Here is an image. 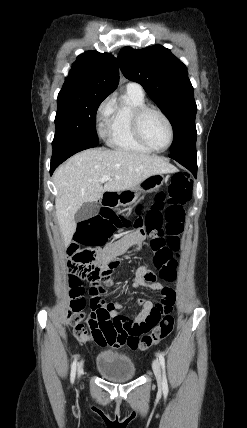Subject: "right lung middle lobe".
Here are the masks:
<instances>
[{"label": "right lung middle lobe", "mask_w": 247, "mask_h": 428, "mask_svg": "<svg viewBox=\"0 0 247 428\" xmlns=\"http://www.w3.org/2000/svg\"><path fill=\"white\" fill-rule=\"evenodd\" d=\"M106 97L87 92L58 95L53 149L97 146L96 112Z\"/></svg>", "instance_id": "dd1d6c3e"}]
</instances>
